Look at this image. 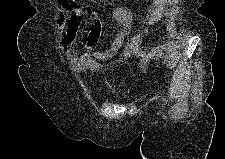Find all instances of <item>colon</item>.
<instances>
[{
  "label": "colon",
  "mask_w": 225,
  "mask_h": 159,
  "mask_svg": "<svg viewBox=\"0 0 225 159\" xmlns=\"http://www.w3.org/2000/svg\"><path fill=\"white\" fill-rule=\"evenodd\" d=\"M61 1L67 2V1H69V0H61ZM106 1H114V0H106Z\"/></svg>",
  "instance_id": "5ec220e1"
}]
</instances>
